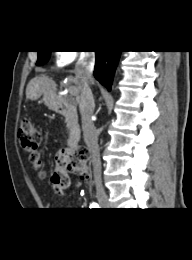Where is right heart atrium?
<instances>
[{
    "label": "right heart atrium",
    "mask_w": 192,
    "mask_h": 260,
    "mask_svg": "<svg viewBox=\"0 0 192 260\" xmlns=\"http://www.w3.org/2000/svg\"><path fill=\"white\" fill-rule=\"evenodd\" d=\"M78 56V53L75 51H60L56 55V61L57 64L66 66L74 62Z\"/></svg>",
    "instance_id": "obj_1"
}]
</instances>
